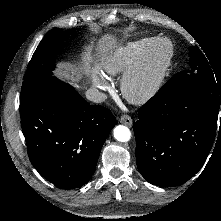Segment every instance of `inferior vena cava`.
Masks as SVG:
<instances>
[{
    "label": "inferior vena cava",
    "instance_id": "inferior-vena-cava-1",
    "mask_svg": "<svg viewBox=\"0 0 221 221\" xmlns=\"http://www.w3.org/2000/svg\"><path fill=\"white\" fill-rule=\"evenodd\" d=\"M86 98L95 103H102L107 99V96L97 89L90 88L86 91Z\"/></svg>",
    "mask_w": 221,
    "mask_h": 221
}]
</instances>
